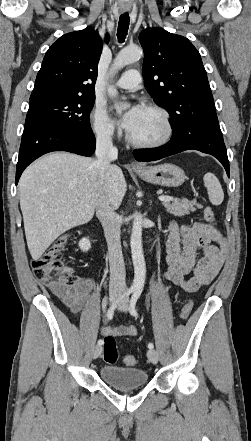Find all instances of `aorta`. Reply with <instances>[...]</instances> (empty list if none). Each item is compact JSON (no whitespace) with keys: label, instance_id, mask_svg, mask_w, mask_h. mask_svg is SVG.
<instances>
[{"label":"aorta","instance_id":"762f6f07","mask_svg":"<svg viewBox=\"0 0 251 441\" xmlns=\"http://www.w3.org/2000/svg\"><path fill=\"white\" fill-rule=\"evenodd\" d=\"M143 55V51L139 47H128L121 50L116 56L111 73H115L124 66L138 61ZM108 94L112 97L117 96L118 92L114 86H109ZM122 108L117 109V113H121ZM133 226L130 237V246L132 253V261L134 265L133 288L142 290L146 277V265L142 248V215L138 212L133 214Z\"/></svg>","mask_w":251,"mask_h":441}]
</instances>
